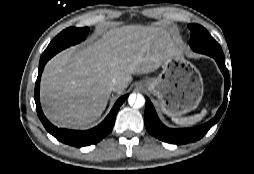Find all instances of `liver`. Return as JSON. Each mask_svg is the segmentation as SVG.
I'll use <instances>...</instances> for the list:
<instances>
[{"instance_id": "6515ba94", "label": "liver", "mask_w": 254, "mask_h": 174, "mask_svg": "<svg viewBox=\"0 0 254 174\" xmlns=\"http://www.w3.org/2000/svg\"><path fill=\"white\" fill-rule=\"evenodd\" d=\"M175 52L167 30L142 25L115 28L84 48H68L44 68L40 87L43 111L58 127L84 128L101 116L112 91L124 92L132 74L155 71ZM112 79L119 82L115 90L110 88Z\"/></svg>"}]
</instances>
